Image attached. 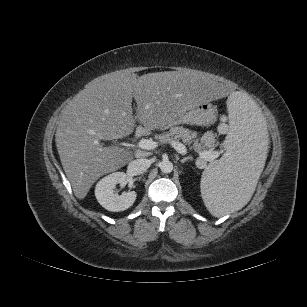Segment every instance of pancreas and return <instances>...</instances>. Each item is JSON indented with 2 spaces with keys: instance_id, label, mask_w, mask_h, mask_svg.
Listing matches in <instances>:
<instances>
[{
  "instance_id": "cf45deb5",
  "label": "pancreas",
  "mask_w": 307,
  "mask_h": 307,
  "mask_svg": "<svg viewBox=\"0 0 307 307\" xmlns=\"http://www.w3.org/2000/svg\"><path fill=\"white\" fill-rule=\"evenodd\" d=\"M196 132L191 131L188 128H184L182 126H176L171 127L169 131L165 132L164 134H158L156 135V139H158L162 143L173 141H179L181 140L186 145H190L192 142H194L193 146H191V149H194L199 154L204 150L205 147H209L212 149L213 144L204 142V138H202L201 142H198V140H195L196 138Z\"/></svg>"
}]
</instances>
